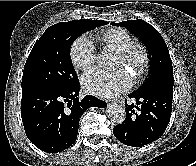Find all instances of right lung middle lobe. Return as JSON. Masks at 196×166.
<instances>
[{"mask_svg":"<svg viewBox=\"0 0 196 166\" xmlns=\"http://www.w3.org/2000/svg\"><path fill=\"white\" fill-rule=\"evenodd\" d=\"M103 20H73L50 26L33 46L24 66L22 88L45 85L68 90L79 83L70 60L72 43L84 32L106 25Z\"/></svg>","mask_w":196,"mask_h":166,"instance_id":"dd1d6c3e","label":"right lung middle lobe"}]
</instances>
